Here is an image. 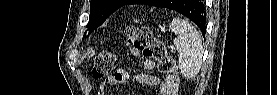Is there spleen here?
Wrapping results in <instances>:
<instances>
[{
  "instance_id": "spleen-1",
  "label": "spleen",
  "mask_w": 277,
  "mask_h": 95,
  "mask_svg": "<svg viewBox=\"0 0 277 95\" xmlns=\"http://www.w3.org/2000/svg\"><path fill=\"white\" fill-rule=\"evenodd\" d=\"M170 30L176 34L174 45L179 53V69L186 78L195 77L202 64L203 46L199 33L188 21L173 18Z\"/></svg>"
}]
</instances>
